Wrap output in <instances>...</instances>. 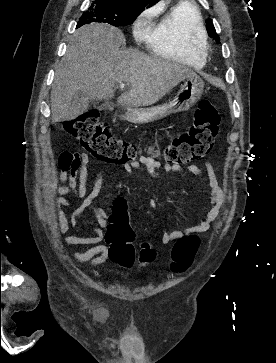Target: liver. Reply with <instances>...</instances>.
<instances>
[{
    "instance_id": "obj_1",
    "label": "liver",
    "mask_w": 276,
    "mask_h": 363,
    "mask_svg": "<svg viewBox=\"0 0 276 363\" xmlns=\"http://www.w3.org/2000/svg\"><path fill=\"white\" fill-rule=\"evenodd\" d=\"M124 34L117 28L91 23L70 37L66 53L55 71L51 91L52 123L70 120L69 106L78 94L89 100H109L114 86L131 88L117 99L126 108L149 106L187 77L196 73L188 67L151 57L136 49H120Z\"/></svg>"
}]
</instances>
